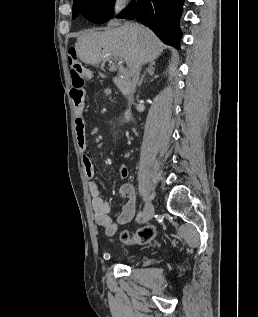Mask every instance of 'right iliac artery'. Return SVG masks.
Instances as JSON below:
<instances>
[{
  "label": "right iliac artery",
  "mask_w": 258,
  "mask_h": 317,
  "mask_svg": "<svg viewBox=\"0 0 258 317\" xmlns=\"http://www.w3.org/2000/svg\"><path fill=\"white\" fill-rule=\"evenodd\" d=\"M141 217H142V212L140 211V212L137 214L136 221H138Z\"/></svg>",
  "instance_id": "1"
}]
</instances>
